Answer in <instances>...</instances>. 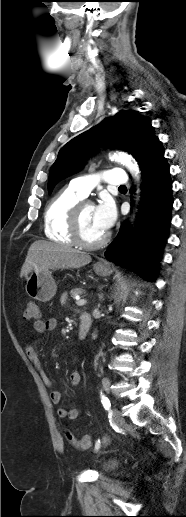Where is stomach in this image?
Returning <instances> with one entry per match:
<instances>
[{"instance_id":"obj_1","label":"stomach","mask_w":186,"mask_h":517,"mask_svg":"<svg viewBox=\"0 0 186 517\" xmlns=\"http://www.w3.org/2000/svg\"><path fill=\"white\" fill-rule=\"evenodd\" d=\"M94 271L99 276H108L111 269L107 264L97 263L94 265ZM26 293L33 299L41 302L50 301L57 291V285L52 277L50 270L37 273L33 271L27 277L25 286Z\"/></svg>"}]
</instances>
